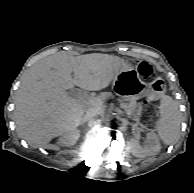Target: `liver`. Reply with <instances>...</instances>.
<instances>
[{
    "label": "liver",
    "mask_w": 194,
    "mask_h": 193,
    "mask_svg": "<svg viewBox=\"0 0 194 193\" xmlns=\"http://www.w3.org/2000/svg\"><path fill=\"white\" fill-rule=\"evenodd\" d=\"M130 68L123 58L102 53L74 57L58 52L41 59L24 74L16 92L19 134L33 147L53 148L49 142L81 125L84 108L96 105L72 98L67 90L105 89L119 72Z\"/></svg>",
    "instance_id": "1"
}]
</instances>
